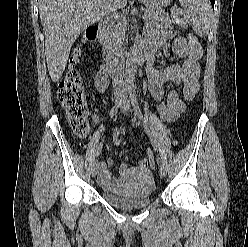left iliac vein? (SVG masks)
Masks as SVG:
<instances>
[{
  "label": "left iliac vein",
  "instance_id": "1",
  "mask_svg": "<svg viewBox=\"0 0 248 247\" xmlns=\"http://www.w3.org/2000/svg\"><path fill=\"white\" fill-rule=\"evenodd\" d=\"M120 100H121V110L123 112H128L130 110V103H129V99H128L126 93L121 94ZM158 163H159L160 175L162 177H165L167 174V165H166L165 161L162 159H159Z\"/></svg>",
  "mask_w": 248,
  "mask_h": 247
}]
</instances>
